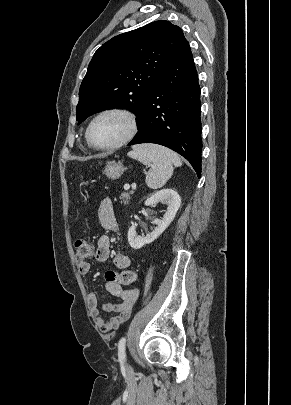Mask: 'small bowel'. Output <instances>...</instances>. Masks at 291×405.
Segmentation results:
<instances>
[{
	"mask_svg": "<svg viewBox=\"0 0 291 405\" xmlns=\"http://www.w3.org/2000/svg\"><path fill=\"white\" fill-rule=\"evenodd\" d=\"M98 215L101 225L105 229L114 231L118 230L113 203L109 198L104 199L100 203ZM110 252L109 236H100L97 241L95 259L99 262H105L110 257ZM114 264L119 269H126L130 266L131 260L127 255L118 253L114 257ZM78 269L81 274H87L91 270V263H81L79 264ZM105 287L111 295L119 300V302L105 303L99 306L97 295L95 293H90L88 295V303L94 324L100 331L109 332L117 329L130 318L134 303L139 296V290L137 288L124 289L121 285L107 280ZM102 312L116 313L117 315L109 320H105L101 314Z\"/></svg>",
	"mask_w": 291,
	"mask_h": 405,
	"instance_id": "small-bowel-1",
	"label": "small bowel"
}]
</instances>
